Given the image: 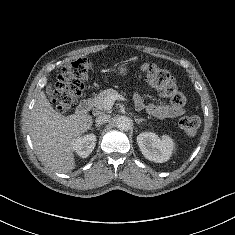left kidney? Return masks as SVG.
Returning a JSON list of instances; mask_svg holds the SVG:
<instances>
[{
	"label": "left kidney",
	"mask_w": 235,
	"mask_h": 235,
	"mask_svg": "<svg viewBox=\"0 0 235 235\" xmlns=\"http://www.w3.org/2000/svg\"><path fill=\"white\" fill-rule=\"evenodd\" d=\"M137 143L144 157L156 163L170 159L175 147L173 139L168 135L160 138L153 132H142L137 136Z\"/></svg>",
	"instance_id": "obj_1"
}]
</instances>
